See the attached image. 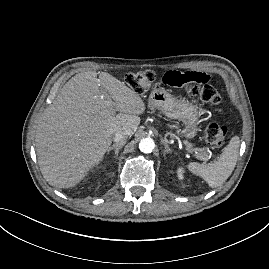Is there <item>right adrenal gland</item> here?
<instances>
[{
  "instance_id": "obj_1",
  "label": "right adrenal gland",
  "mask_w": 269,
  "mask_h": 269,
  "mask_svg": "<svg viewBox=\"0 0 269 269\" xmlns=\"http://www.w3.org/2000/svg\"><path fill=\"white\" fill-rule=\"evenodd\" d=\"M125 145L124 143H115L107 150V154H109L112 150L115 151L116 158L118 157L119 150Z\"/></svg>"
}]
</instances>
